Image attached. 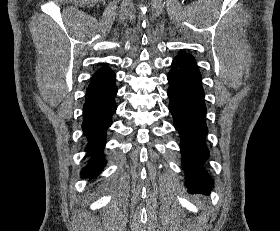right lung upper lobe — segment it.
Returning <instances> with one entry per match:
<instances>
[{
  "label": "right lung upper lobe",
  "instance_id": "obj_1",
  "mask_svg": "<svg viewBox=\"0 0 280 231\" xmlns=\"http://www.w3.org/2000/svg\"><path fill=\"white\" fill-rule=\"evenodd\" d=\"M115 73L106 65L95 71L86 91V96L98 94L106 89L115 87Z\"/></svg>",
  "mask_w": 280,
  "mask_h": 231
}]
</instances>
